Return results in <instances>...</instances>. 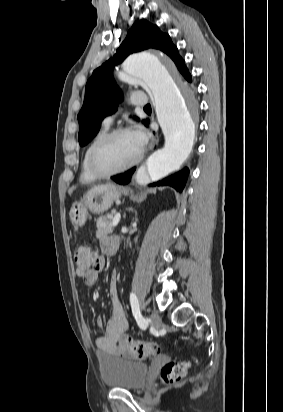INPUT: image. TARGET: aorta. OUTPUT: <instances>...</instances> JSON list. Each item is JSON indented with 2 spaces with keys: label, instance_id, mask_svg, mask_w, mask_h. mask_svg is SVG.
Listing matches in <instances>:
<instances>
[{
  "label": "aorta",
  "instance_id": "aorta-1",
  "mask_svg": "<svg viewBox=\"0 0 283 412\" xmlns=\"http://www.w3.org/2000/svg\"><path fill=\"white\" fill-rule=\"evenodd\" d=\"M169 60L155 52H142L123 63L126 82L142 83L151 92L159 124L165 137L164 147L147 160L145 171L152 181L175 170L189 156L195 138V123L188 109L191 99L186 86H179L169 69Z\"/></svg>",
  "mask_w": 283,
  "mask_h": 412
}]
</instances>
